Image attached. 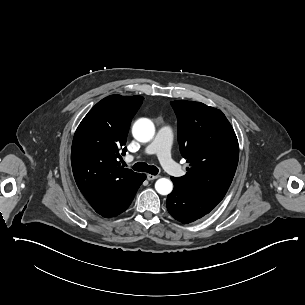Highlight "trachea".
<instances>
[{"mask_svg": "<svg viewBox=\"0 0 305 305\" xmlns=\"http://www.w3.org/2000/svg\"><path fill=\"white\" fill-rule=\"evenodd\" d=\"M135 171L146 172L152 175H157L159 169L156 166L148 165L144 162H138L133 166Z\"/></svg>", "mask_w": 305, "mask_h": 305, "instance_id": "trachea-1", "label": "trachea"}]
</instances>
